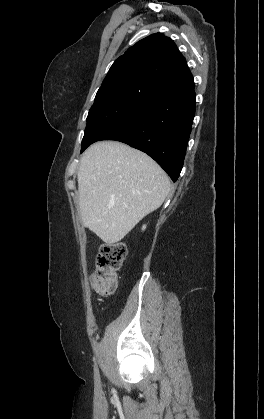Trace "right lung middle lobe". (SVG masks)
<instances>
[{"label": "right lung middle lobe", "instance_id": "right-lung-middle-lobe-1", "mask_svg": "<svg viewBox=\"0 0 264 419\" xmlns=\"http://www.w3.org/2000/svg\"><path fill=\"white\" fill-rule=\"evenodd\" d=\"M153 96L149 91L128 84L99 89L89 110L81 152L124 123L143 101Z\"/></svg>", "mask_w": 264, "mask_h": 419}]
</instances>
